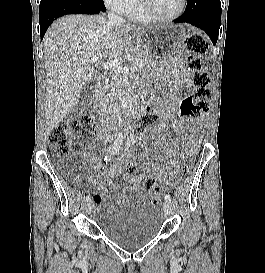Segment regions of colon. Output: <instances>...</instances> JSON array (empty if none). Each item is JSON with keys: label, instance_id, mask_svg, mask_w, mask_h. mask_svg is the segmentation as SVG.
<instances>
[{"label": "colon", "instance_id": "1", "mask_svg": "<svg viewBox=\"0 0 265 273\" xmlns=\"http://www.w3.org/2000/svg\"><path fill=\"white\" fill-rule=\"evenodd\" d=\"M207 49L206 42L198 33H191L185 36L183 42L179 45L180 53H187V68L193 75V84L195 91L192 95L186 97L180 104V115L188 117H200L210 111L209 89L210 77L202 70L200 55ZM158 119L155 112L146 113L142 119L138 130L141 135L147 128L153 126ZM96 133L95 122L90 117H83L80 120L71 122H62L56 125L49 134V143L54 148L56 154L66 157L71 151V140L74 134L82 137L93 136ZM126 172L130 175L135 174L136 166L131 164L127 166ZM157 183L152 178L144 181L145 191H156Z\"/></svg>", "mask_w": 265, "mask_h": 273}]
</instances>
